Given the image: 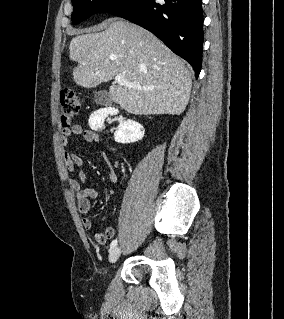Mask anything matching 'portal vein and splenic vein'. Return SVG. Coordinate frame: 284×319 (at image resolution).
Listing matches in <instances>:
<instances>
[{"label": "portal vein and splenic vein", "instance_id": "obj_1", "mask_svg": "<svg viewBox=\"0 0 284 319\" xmlns=\"http://www.w3.org/2000/svg\"><path fill=\"white\" fill-rule=\"evenodd\" d=\"M115 82L121 85H125L130 88H137L141 89L142 87L140 85H136L134 83L126 81L125 77L123 75H117L115 76Z\"/></svg>", "mask_w": 284, "mask_h": 319}]
</instances>
